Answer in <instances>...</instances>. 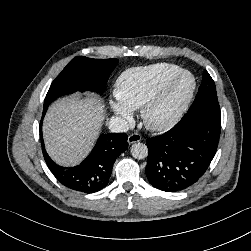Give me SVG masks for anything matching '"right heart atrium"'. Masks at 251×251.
Returning <instances> with one entry per match:
<instances>
[{
    "label": "right heart atrium",
    "instance_id": "d8ad5b80",
    "mask_svg": "<svg viewBox=\"0 0 251 251\" xmlns=\"http://www.w3.org/2000/svg\"><path fill=\"white\" fill-rule=\"evenodd\" d=\"M109 107L116 115L128 119L132 115V110L118 98L109 101Z\"/></svg>",
    "mask_w": 251,
    "mask_h": 251
}]
</instances>
